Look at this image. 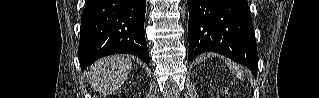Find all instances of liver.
<instances>
[{"mask_svg": "<svg viewBox=\"0 0 319 98\" xmlns=\"http://www.w3.org/2000/svg\"><path fill=\"white\" fill-rule=\"evenodd\" d=\"M132 67L129 56H110L95 62L88 70L91 88L108 95L118 90L127 80Z\"/></svg>", "mask_w": 319, "mask_h": 98, "instance_id": "1", "label": "liver"}]
</instances>
